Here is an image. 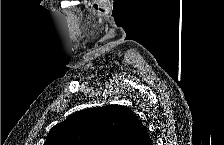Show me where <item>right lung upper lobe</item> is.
<instances>
[{
	"mask_svg": "<svg viewBox=\"0 0 224 145\" xmlns=\"http://www.w3.org/2000/svg\"><path fill=\"white\" fill-rule=\"evenodd\" d=\"M44 145H152V141L132 110L111 104L68 116L50 130Z\"/></svg>",
	"mask_w": 224,
	"mask_h": 145,
	"instance_id": "right-lung-upper-lobe-1",
	"label": "right lung upper lobe"
}]
</instances>
